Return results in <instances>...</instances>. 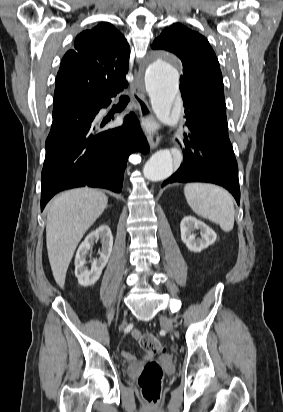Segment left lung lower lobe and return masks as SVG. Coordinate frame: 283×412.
<instances>
[{"mask_svg":"<svg viewBox=\"0 0 283 412\" xmlns=\"http://www.w3.org/2000/svg\"><path fill=\"white\" fill-rule=\"evenodd\" d=\"M186 125L183 162L162 187L174 182H209L226 188L240 202L238 166L228 137L227 123H214L185 106Z\"/></svg>","mask_w":283,"mask_h":412,"instance_id":"left-lung-lower-lobe-1","label":"left lung lower lobe"}]
</instances>
